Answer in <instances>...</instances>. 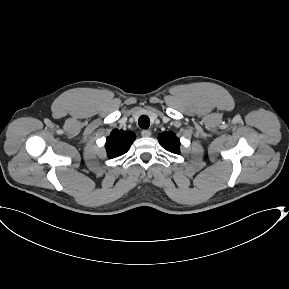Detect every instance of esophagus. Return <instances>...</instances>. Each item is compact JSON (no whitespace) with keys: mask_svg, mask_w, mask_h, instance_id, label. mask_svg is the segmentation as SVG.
Listing matches in <instances>:
<instances>
[{"mask_svg":"<svg viewBox=\"0 0 289 289\" xmlns=\"http://www.w3.org/2000/svg\"><path fill=\"white\" fill-rule=\"evenodd\" d=\"M141 135H142V137H150L151 131L150 130H142Z\"/></svg>","mask_w":289,"mask_h":289,"instance_id":"esophagus-1","label":"esophagus"}]
</instances>
